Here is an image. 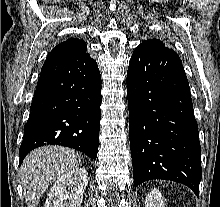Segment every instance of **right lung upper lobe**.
Masks as SVG:
<instances>
[{
	"instance_id": "cb5924a9",
	"label": "right lung upper lobe",
	"mask_w": 220,
	"mask_h": 207,
	"mask_svg": "<svg viewBox=\"0 0 220 207\" xmlns=\"http://www.w3.org/2000/svg\"><path fill=\"white\" fill-rule=\"evenodd\" d=\"M86 43L77 38H70L57 45L47 56L46 60H58L73 57L86 52Z\"/></svg>"
}]
</instances>
